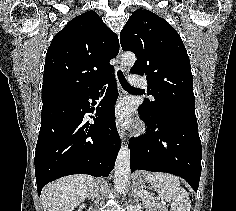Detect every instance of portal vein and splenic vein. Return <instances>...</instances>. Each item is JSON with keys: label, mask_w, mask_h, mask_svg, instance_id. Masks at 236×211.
I'll return each mask as SVG.
<instances>
[{"label": "portal vein and splenic vein", "mask_w": 236, "mask_h": 211, "mask_svg": "<svg viewBox=\"0 0 236 211\" xmlns=\"http://www.w3.org/2000/svg\"><path fill=\"white\" fill-rule=\"evenodd\" d=\"M144 194H147V191H140V192H139V196H142V195H144Z\"/></svg>", "instance_id": "portal-vein-and-splenic-vein-1"}]
</instances>
